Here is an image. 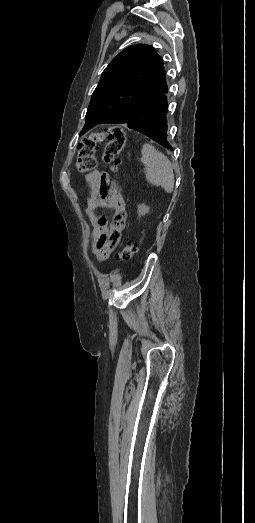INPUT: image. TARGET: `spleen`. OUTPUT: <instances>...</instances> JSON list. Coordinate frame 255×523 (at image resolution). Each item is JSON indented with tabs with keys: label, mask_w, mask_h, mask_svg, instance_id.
I'll return each mask as SVG.
<instances>
[{
	"label": "spleen",
	"mask_w": 255,
	"mask_h": 523,
	"mask_svg": "<svg viewBox=\"0 0 255 523\" xmlns=\"http://www.w3.org/2000/svg\"><path fill=\"white\" fill-rule=\"evenodd\" d=\"M141 154L147 182L153 186H162L168 194L173 192L174 174L168 158L161 152H157L151 144H143Z\"/></svg>",
	"instance_id": "1"
}]
</instances>
